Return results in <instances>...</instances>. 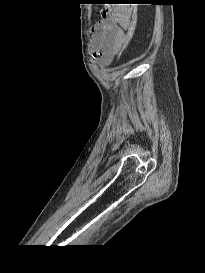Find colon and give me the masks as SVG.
Listing matches in <instances>:
<instances>
[{
  "label": "colon",
  "instance_id": "1",
  "mask_svg": "<svg viewBox=\"0 0 205 273\" xmlns=\"http://www.w3.org/2000/svg\"><path fill=\"white\" fill-rule=\"evenodd\" d=\"M136 28H137V23L133 22L130 25L129 30H128V41H127V43H129L131 41V39L133 38V36L135 34V31H136Z\"/></svg>",
  "mask_w": 205,
  "mask_h": 273
}]
</instances>
